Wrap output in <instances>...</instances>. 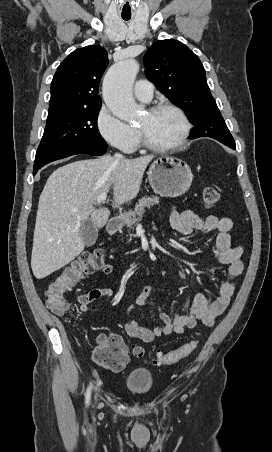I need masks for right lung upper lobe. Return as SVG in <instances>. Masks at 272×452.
Listing matches in <instances>:
<instances>
[{"label": "right lung upper lobe", "mask_w": 272, "mask_h": 452, "mask_svg": "<svg viewBox=\"0 0 272 452\" xmlns=\"http://www.w3.org/2000/svg\"><path fill=\"white\" fill-rule=\"evenodd\" d=\"M107 65V51L101 46H87L68 55L51 82L48 114L101 107L98 89Z\"/></svg>", "instance_id": "cb5924a9"}]
</instances>
